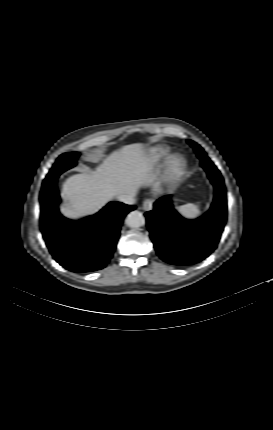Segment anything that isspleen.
I'll list each match as a JSON object with an SVG mask.
<instances>
[{
    "label": "spleen",
    "mask_w": 273,
    "mask_h": 430,
    "mask_svg": "<svg viewBox=\"0 0 273 430\" xmlns=\"http://www.w3.org/2000/svg\"><path fill=\"white\" fill-rule=\"evenodd\" d=\"M178 213L186 220H193L200 214V207L198 204L188 203L177 207Z\"/></svg>",
    "instance_id": "1"
}]
</instances>
